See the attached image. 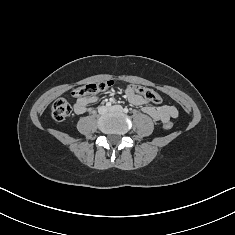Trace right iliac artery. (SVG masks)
<instances>
[{
  "label": "right iliac artery",
  "instance_id": "right-iliac-artery-1",
  "mask_svg": "<svg viewBox=\"0 0 235 235\" xmlns=\"http://www.w3.org/2000/svg\"><path fill=\"white\" fill-rule=\"evenodd\" d=\"M106 106H107V107H110V106H111V103H110V102L106 103Z\"/></svg>",
  "mask_w": 235,
  "mask_h": 235
}]
</instances>
